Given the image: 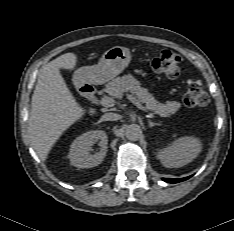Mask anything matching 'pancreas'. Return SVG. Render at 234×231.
Masks as SVG:
<instances>
[{
  "label": "pancreas",
  "mask_w": 234,
  "mask_h": 231,
  "mask_svg": "<svg viewBox=\"0 0 234 231\" xmlns=\"http://www.w3.org/2000/svg\"><path fill=\"white\" fill-rule=\"evenodd\" d=\"M126 91L130 92L140 103L145 104L146 109L162 117H169L171 114L177 112L180 107V103L175 101H166L164 104L159 103L148 90L142 88L139 81L131 75L113 79L106 84L104 89V92L108 94V96L105 97H109L113 100L122 98L123 93Z\"/></svg>",
  "instance_id": "1"
}]
</instances>
